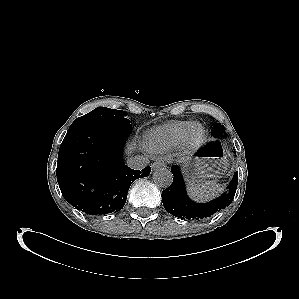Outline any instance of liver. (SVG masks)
I'll return each mask as SVG.
<instances>
[{
  "instance_id": "1",
  "label": "liver",
  "mask_w": 299,
  "mask_h": 299,
  "mask_svg": "<svg viewBox=\"0 0 299 299\" xmlns=\"http://www.w3.org/2000/svg\"><path fill=\"white\" fill-rule=\"evenodd\" d=\"M132 148H133L132 146H129V147H128V150L131 151Z\"/></svg>"
}]
</instances>
